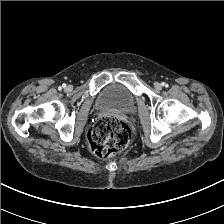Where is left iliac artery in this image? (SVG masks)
I'll list each match as a JSON object with an SVG mask.
<instances>
[{
    "mask_svg": "<svg viewBox=\"0 0 224 224\" xmlns=\"http://www.w3.org/2000/svg\"><path fill=\"white\" fill-rule=\"evenodd\" d=\"M162 85H163V86H165V87H167V86H168V85H167V84H165V83H162Z\"/></svg>",
    "mask_w": 224,
    "mask_h": 224,
    "instance_id": "1",
    "label": "left iliac artery"
}]
</instances>
